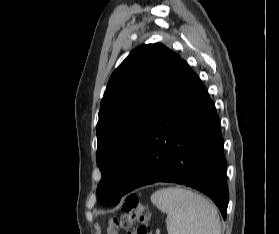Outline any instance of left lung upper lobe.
Masks as SVG:
<instances>
[{
    "label": "left lung upper lobe",
    "mask_w": 279,
    "mask_h": 234,
    "mask_svg": "<svg viewBox=\"0 0 279 234\" xmlns=\"http://www.w3.org/2000/svg\"><path fill=\"white\" fill-rule=\"evenodd\" d=\"M182 59L164 45H141L113 72L97 123V200L116 205L159 102Z\"/></svg>",
    "instance_id": "1"
}]
</instances>
